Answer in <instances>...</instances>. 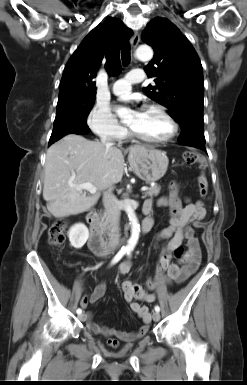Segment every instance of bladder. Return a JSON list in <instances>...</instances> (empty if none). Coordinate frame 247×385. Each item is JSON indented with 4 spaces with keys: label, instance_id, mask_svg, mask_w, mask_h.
<instances>
[{
    "label": "bladder",
    "instance_id": "1",
    "mask_svg": "<svg viewBox=\"0 0 247 385\" xmlns=\"http://www.w3.org/2000/svg\"><path fill=\"white\" fill-rule=\"evenodd\" d=\"M131 346H132L131 344H130V345H128V346H127V349H128V348H130Z\"/></svg>",
    "mask_w": 247,
    "mask_h": 385
}]
</instances>
